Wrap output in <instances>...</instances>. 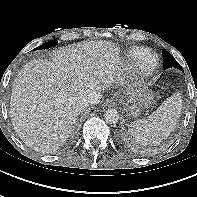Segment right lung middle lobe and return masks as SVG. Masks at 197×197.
<instances>
[{"mask_svg":"<svg viewBox=\"0 0 197 197\" xmlns=\"http://www.w3.org/2000/svg\"><path fill=\"white\" fill-rule=\"evenodd\" d=\"M57 44H58L57 40H51V41L46 42V43L40 45L39 47L35 48V50L51 48Z\"/></svg>","mask_w":197,"mask_h":197,"instance_id":"obj_1","label":"right lung middle lobe"}]
</instances>
